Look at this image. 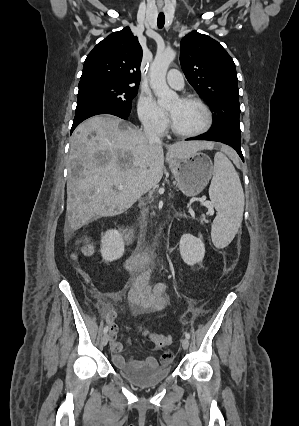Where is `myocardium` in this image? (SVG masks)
Returning a JSON list of instances; mask_svg holds the SVG:
<instances>
[{
	"instance_id": "myocardium-1",
	"label": "myocardium",
	"mask_w": 299,
	"mask_h": 426,
	"mask_svg": "<svg viewBox=\"0 0 299 426\" xmlns=\"http://www.w3.org/2000/svg\"><path fill=\"white\" fill-rule=\"evenodd\" d=\"M179 99L181 101H184V102H194V103L198 104L202 108V110L204 111L205 123L200 129H198L196 131L185 132V131L179 130L175 126V124H174V122H173V120L170 116L171 131L175 135L180 136V137H185V138L197 137V136H200V135L206 133L211 128L212 123H213V115H212V112H211L209 106L205 103L204 100H202L200 97L195 96V95H184V96H181Z\"/></svg>"
}]
</instances>
